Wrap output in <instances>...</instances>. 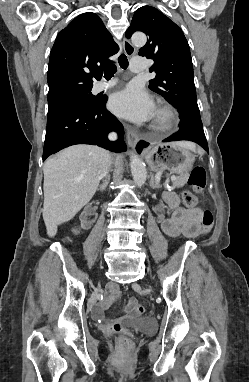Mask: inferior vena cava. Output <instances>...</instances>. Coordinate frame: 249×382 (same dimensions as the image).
I'll list each match as a JSON object with an SVG mask.
<instances>
[{
    "instance_id": "obj_1",
    "label": "inferior vena cava",
    "mask_w": 249,
    "mask_h": 382,
    "mask_svg": "<svg viewBox=\"0 0 249 382\" xmlns=\"http://www.w3.org/2000/svg\"><path fill=\"white\" fill-rule=\"evenodd\" d=\"M109 139H111V140H115L116 138H117V134L115 133V132H112V133H110L109 134ZM110 163L111 162H109V165L108 166H110ZM106 173H107V171L103 174V176H106Z\"/></svg>"
}]
</instances>
